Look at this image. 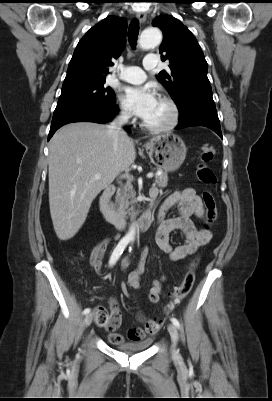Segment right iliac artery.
Segmentation results:
<instances>
[{
  "label": "right iliac artery",
  "instance_id": "right-iliac-artery-1",
  "mask_svg": "<svg viewBox=\"0 0 272 401\" xmlns=\"http://www.w3.org/2000/svg\"><path fill=\"white\" fill-rule=\"evenodd\" d=\"M129 241L130 240L128 238H123L120 240V242L118 243V245L116 246V248L114 249V251L110 257V260H109L110 266H112L116 263V261L119 259V257L123 253L124 249L128 245ZM89 312H90V308H86L83 311V314H88Z\"/></svg>",
  "mask_w": 272,
  "mask_h": 401
}]
</instances>
